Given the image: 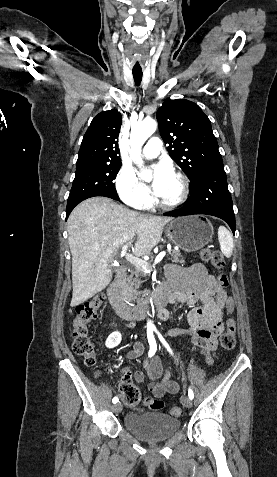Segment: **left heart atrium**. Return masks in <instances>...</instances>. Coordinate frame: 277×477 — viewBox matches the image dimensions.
Masks as SVG:
<instances>
[{"label": "left heart atrium", "instance_id": "obj_1", "mask_svg": "<svg viewBox=\"0 0 277 477\" xmlns=\"http://www.w3.org/2000/svg\"><path fill=\"white\" fill-rule=\"evenodd\" d=\"M154 180H153V190L160 196L165 190L166 185L174 176V173L170 166L166 163L161 162L153 167Z\"/></svg>", "mask_w": 277, "mask_h": 477}]
</instances>
